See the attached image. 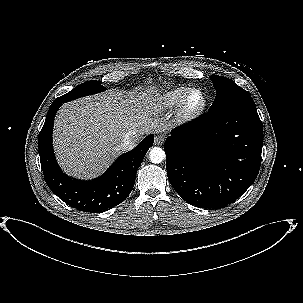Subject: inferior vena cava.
Returning <instances> with one entry per match:
<instances>
[{
  "instance_id": "inferior-vena-cava-1",
  "label": "inferior vena cava",
  "mask_w": 303,
  "mask_h": 303,
  "mask_svg": "<svg viewBox=\"0 0 303 303\" xmlns=\"http://www.w3.org/2000/svg\"><path fill=\"white\" fill-rule=\"evenodd\" d=\"M139 140L140 137L134 131L128 132L122 139L120 148L122 151H129L135 147Z\"/></svg>"
}]
</instances>
